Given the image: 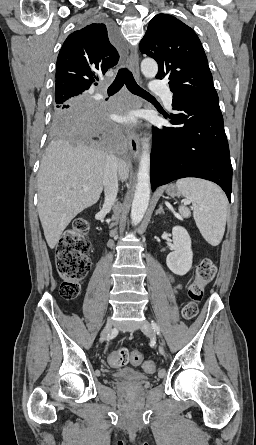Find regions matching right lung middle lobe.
Returning <instances> with one entry per match:
<instances>
[{
  "instance_id": "right-lung-middle-lobe-1",
  "label": "right lung middle lobe",
  "mask_w": 256,
  "mask_h": 445,
  "mask_svg": "<svg viewBox=\"0 0 256 445\" xmlns=\"http://www.w3.org/2000/svg\"><path fill=\"white\" fill-rule=\"evenodd\" d=\"M89 99L87 93H79L70 96H55L54 114H53V133L64 134L71 138L69 130L62 120L70 110L75 108L80 101Z\"/></svg>"
}]
</instances>
